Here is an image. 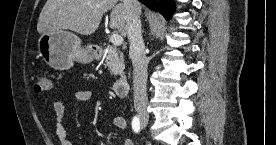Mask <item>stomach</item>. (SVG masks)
I'll return each mask as SVG.
<instances>
[{"label": "stomach", "instance_id": "0dacf381", "mask_svg": "<svg viewBox=\"0 0 276 145\" xmlns=\"http://www.w3.org/2000/svg\"><path fill=\"white\" fill-rule=\"evenodd\" d=\"M38 48L43 60L60 71L70 69L74 61L86 64L95 58L91 47H81V39L66 30L42 33L38 39Z\"/></svg>", "mask_w": 276, "mask_h": 145}]
</instances>
